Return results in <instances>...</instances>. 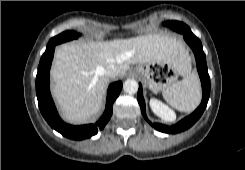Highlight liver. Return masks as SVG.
Returning a JSON list of instances; mask_svg holds the SVG:
<instances>
[{"label": "liver", "instance_id": "liver-1", "mask_svg": "<svg viewBox=\"0 0 245 170\" xmlns=\"http://www.w3.org/2000/svg\"><path fill=\"white\" fill-rule=\"evenodd\" d=\"M172 62L182 76L190 73V59L183 44L166 34H149L109 42H73L55 52L52 92L63 118L73 124L87 122L101 109L109 65L124 76L132 64Z\"/></svg>", "mask_w": 245, "mask_h": 170}]
</instances>
